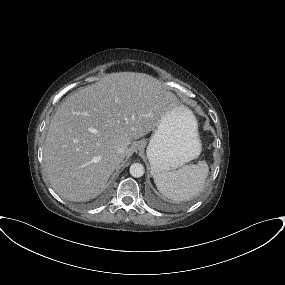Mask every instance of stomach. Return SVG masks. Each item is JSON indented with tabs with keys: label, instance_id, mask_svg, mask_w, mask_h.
<instances>
[{
	"label": "stomach",
	"instance_id": "0dacf381",
	"mask_svg": "<svg viewBox=\"0 0 285 285\" xmlns=\"http://www.w3.org/2000/svg\"><path fill=\"white\" fill-rule=\"evenodd\" d=\"M175 106L154 130L146 154L152 173L175 170L197 158L201 152L197 121L190 110Z\"/></svg>",
	"mask_w": 285,
	"mask_h": 285
}]
</instances>
